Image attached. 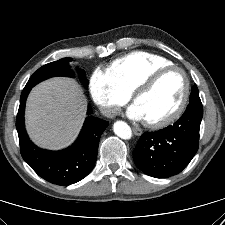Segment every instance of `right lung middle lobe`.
Instances as JSON below:
<instances>
[{"instance_id":"obj_1","label":"right lung middle lobe","mask_w":225,"mask_h":225,"mask_svg":"<svg viewBox=\"0 0 225 225\" xmlns=\"http://www.w3.org/2000/svg\"><path fill=\"white\" fill-rule=\"evenodd\" d=\"M70 60L71 58H63L42 66L30 77L29 81L26 84V87H33L37 83L54 76L73 77L74 73L72 70H70L68 65V61ZM78 72L81 76L82 82L85 86H87L85 72L81 69H78Z\"/></svg>"}]
</instances>
